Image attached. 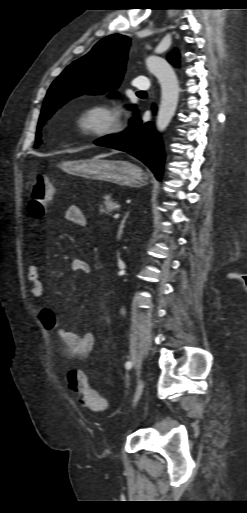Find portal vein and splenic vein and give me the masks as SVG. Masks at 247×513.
Wrapping results in <instances>:
<instances>
[{"instance_id":"portal-vein-and-splenic-vein-1","label":"portal vein and splenic vein","mask_w":247,"mask_h":513,"mask_svg":"<svg viewBox=\"0 0 247 513\" xmlns=\"http://www.w3.org/2000/svg\"><path fill=\"white\" fill-rule=\"evenodd\" d=\"M117 217H118L117 215H115V216H114V218H115V219H116ZM117 238H118V236H117Z\"/></svg>"}]
</instances>
